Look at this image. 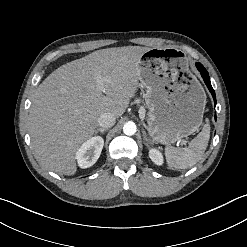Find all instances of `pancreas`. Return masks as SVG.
Here are the masks:
<instances>
[{"instance_id":"obj_1","label":"pancreas","mask_w":247,"mask_h":247,"mask_svg":"<svg viewBox=\"0 0 247 247\" xmlns=\"http://www.w3.org/2000/svg\"><path fill=\"white\" fill-rule=\"evenodd\" d=\"M137 103H139V100H137ZM139 112H140V115L143 117L145 115L144 107H141Z\"/></svg>"}]
</instances>
